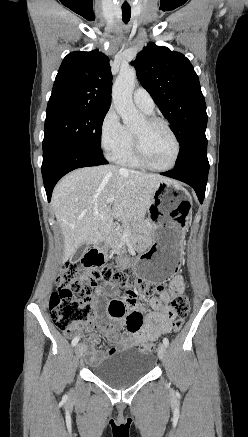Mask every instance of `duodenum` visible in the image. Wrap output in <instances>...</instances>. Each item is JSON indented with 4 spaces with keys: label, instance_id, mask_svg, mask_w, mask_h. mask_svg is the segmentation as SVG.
I'll return each instance as SVG.
<instances>
[{
    "label": "duodenum",
    "instance_id": "duodenum-1",
    "mask_svg": "<svg viewBox=\"0 0 248 437\" xmlns=\"http://www.w3.org/2000/svg\"><path fill=\"white\" fill-rule=\"evenodd\" d=\"M106 243H107V240H104L99 245H97L93 248H89L87 250L86 255H85V259L88 260V259H91L93 257H96L97 255H102V251H103Z\"/></svg>",
    "mask_w": 248,
    "mask_h": 437
}]
</instances>
